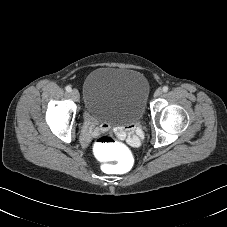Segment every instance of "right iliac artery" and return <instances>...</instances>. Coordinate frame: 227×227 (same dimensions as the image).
I'll return each instance as SVG.
<instances>
[{
    "label": "right iliac artery",
    "mask_w": 227,
    "mask_h": 227,
    "mask_svg": "<svg viewBox=\"0 0 227 227\" xmlns=\"http://www.w3.org/2000/svg\"><path fill=\"white\" fill-rule=\"evenodd\" d=\"M65 89H66L67 92H71L72 91L70 86H66Z\"/></svg>",
    "instance_id": "obj_1"
}]
</instances>
